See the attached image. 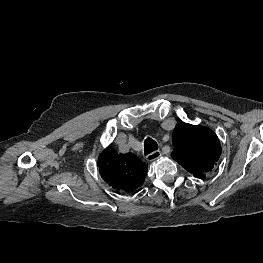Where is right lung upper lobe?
Segmentation results:
<instances>
[{
    "label": "right lung upper lobe",
    "mask_w": 263,
    "mask_h": 263,
    "mask_svg": "<svg viewBox=\"0 0 263 263\" xmlns=\"http://www.w3.org/2000/svg\"><path fill=\"white\" fill-rule=\"evenodd\" d=\"M102 179L117 190L132 192L140 187L147 174V164L133 153L118 154L112 147L106 148L98 159Z\"/></svg>",
    "instance_id": "cb5924a9"
}]
</instances>
